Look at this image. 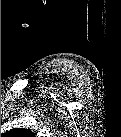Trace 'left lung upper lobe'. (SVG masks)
I'll return each mask as SVG.
<instances>
[{
  "instance_id": "left-lung-upper-lobe-1",
  "label": "left lung upper lobe",
  "mask_w": 121,
  "mask_h": 137,
  "mask_svg": "<svg viewBox=\"0 0 121 137\" xmlns=\"http://www.w3.org/2000/svg\"><path fill=\"white\" fill-rule=\"evenodd\" d=\"M9 134H13L14 136H26V135H32V132L27 129H15L9 132Z\"/></svg>"
}]
</instances>
